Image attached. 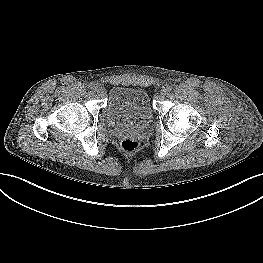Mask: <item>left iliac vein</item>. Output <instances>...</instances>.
I'll use <instances>...</instances> for the list:
<instances>
[{
    "instance_id": "4c4485c4",
    "label": "left iliac vein",
    "mask_w": 263,
    "mask_h": 263,
    "mask_svg": "<svg viewBox=\"0 0 263 263\" xmlns=\"http://www.w3.org/2000/svg\"><path fill=\"white\" fill-rule=\"evenodd\" d=\"M167 89H162L161 90V92H160V94L162 95V96H165L166 94H167Z\"/></svg>"
}]
</instances>
